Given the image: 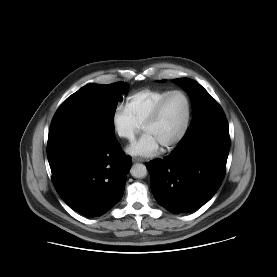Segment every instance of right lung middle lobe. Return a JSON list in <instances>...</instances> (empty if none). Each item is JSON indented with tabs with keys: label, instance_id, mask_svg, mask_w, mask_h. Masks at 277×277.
<instances>
[{
	"label": "right lung middle lobe",
	"instance_id": "dd1d6c3e",
	"mask_svg": "<svg viewBox=\"0 0 277 277\" xmlns=\"http://www.w3.org/2000/svg\"><path fill=\"white\" fill-rule=\"evenodd\" d=\"M126 83L88 84L69 96L55 117H72L88 121L101 131L114 136V114Z\"/></svg>",
	"mask_w": 277,
	"mask_h": 277
}]
</instances>
